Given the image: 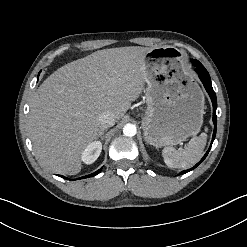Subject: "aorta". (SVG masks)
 <instances>
[{
  "label": "aorta",
  "mask_w": 247,
  "mask_h": 247,
  "mask_svg": "<svg viewBox=\"0 0 247 247\" xmlns=\"http://www.w3.org/2000/svg\"><path fill=\"white\" fill-rule=\"evenodd\" d=\"M123 133L127 137L135 136L137 133L136 126L134 124H126L123 128Z\"/></svg>",
  "instance_id": "aorta-1"
}]
</instances>
